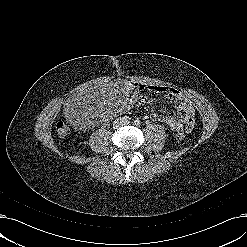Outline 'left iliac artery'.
I'll list each match as a JSON object with an SVG mask.
<instances>
[{
	"label": "left iliac artery",
	"instance_id": "1",
	"mask_svg": "<svg viewBox=\"0 0 247 247\" xmlns=\"http://www.w3.org/2000/svg\"><path fill=\"white\" fill-rule=\"evenodd\" d=\"M140 124V121L139 120H136L135 121V125H139Z\"/></svg>",
	"mask_w": 247,
	"mask_h": 247
}]
</instances>
